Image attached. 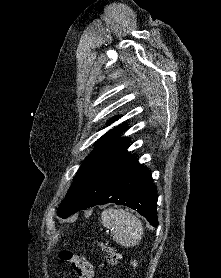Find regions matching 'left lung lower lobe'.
<instances>
[{"instance_id":"obj_1","label":"left lung lower lobe","mask_w":221,"mask_h":278,"mask_svg":"<svg viewBox=\"0 0 221 278\" xmlns=\"http://www.w3.org/2000/svg\"><path fill=\"white\" fill-rule=\"evenodd\" d=\"M126 149L95 175L71 213L96 205L115 203L136 210L151 225L158 226V194L151 172Z\"/></svg>"}]
</instances>
